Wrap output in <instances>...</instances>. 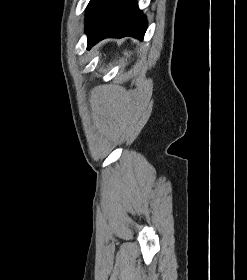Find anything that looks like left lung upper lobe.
I'll return each mask as SVG.
<instances>
[{"label":"left lung upper lobe","instance_id":"left-lung-upper-lobe-1","mask_svg":"<svg viewBox=\"0 0 247 280\" xmlns=\"http://www.w3.org/2000/svg\"><path fill=\"white\" fill-rule=\"evenodd\" d=\"M101 0H90L88 6H87V13L86 18L89 15V13L92 11V9L100 2Z\"/></svg>","mask_w":247,"mask_h":280}]
</instances>
